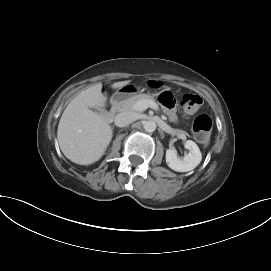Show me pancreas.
<instances>
[{
  "instance_id": "1",
  "label": "pancreas",
  "mask_w": 271,
  "mask_h": 271,
  "mask_svg": "<svg viewBox=\"0 0 271 271\" xmlns=\"http://www.w3.org/2000/svg\"><path fill=\"white\" fill-rule=\"evenodd\" d=\"M140 100H147V101H153L154 102V98L151 97L150 95H146V94H137L134 95L126 100H124L121 104H120V110L121 111H133L134 109V105L137 101Z\"/></svg>"
}]
</instances>
